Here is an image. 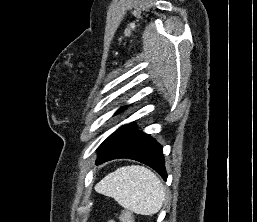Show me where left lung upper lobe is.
I'll list each match as a JSON object with an SVG mask.
<instances>
[{"instance_id":"obj_1","label":"left lung upper lobe","mask_w":257,"mask_h":222,"mask_svg":"<svg viewBox=\"0 0 257 222\" xmlns=\"http://www.w3.org/2000/svg\"><path fill=\"white\" fill-rule=\"evenodd\" d=\"M125 108H127V106H124V107H122L121 109H119L116 113H115V115L116 114H118V113H120L121 111H123V109H125ZM125 126H122V127H120L115 133H113L112 135H110L102 144H101V148H103L111 139H113L123 128H124Z\"/></svg>"}]
</instances>
